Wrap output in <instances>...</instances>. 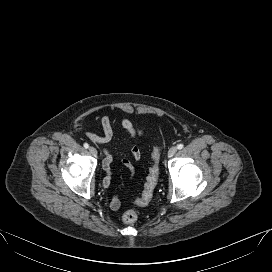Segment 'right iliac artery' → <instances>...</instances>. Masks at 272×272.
<instances>
[{
    "label": "right iliac artery",
    "mask_w": 272,
    "mask_h": 272,
    "mask_svg": "<svg viewBox=\"0 0 272 272\" xmlns=\"http://www.w3.org/2000/svg\"><path fill=\"white\" fill-rule=\"evenodd\" d=\"M83 146H84V148H86V149L89 148V145H88L87 143H84Z\"/></svg>",
    "instance_id": "right-iliac-artery-1"
}]
</instances>
